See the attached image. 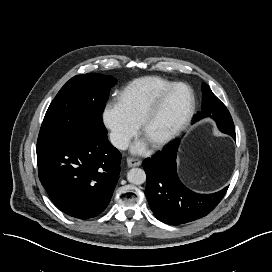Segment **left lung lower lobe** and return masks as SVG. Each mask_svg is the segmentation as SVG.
<instances>
[{
	"mask_svg": "<svg viewBox=\"0 0 272 272\" xmlns=\"http://www.w3.org/2000/svg\"><path fill=\"white\" fill-rule=\"evenodd\" d=\"M198 120V119H197ZM194 119V122L197 121ZM232 117H220L218 128L235 138V129L229 128ZM176 139L163 151L143 162L145 169V195L155 217L170 225L191 222L209 214L223 199L228 187L213 194H198L186 188L178 178Z\"/></svg>",
	"mask_w": 272,
	"mask_h": 272,
	"instance_id": "0a47b994",
	"label": "left lung lower lobe"
}]
</instances>
